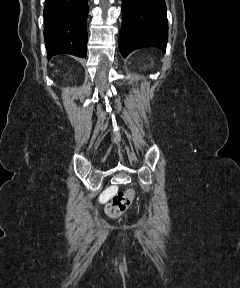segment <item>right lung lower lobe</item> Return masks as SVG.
Wrapping results in <instances>:
<instances>
[{"label":"right lung lower lobe","mask_w":240,"mask_h":288,"mask_svg":"<svg viewBox=\"0 0 240 288\" xmlns=\"http://www.w3.org/2000/svg\"><path fill=\"white\" fill-rule=\"evenodd\" d=\"M87 0H46L44 41L49 59L56 54L86 57Z\"/></svg>","instance_id":"right-lung-lower-lobe-1"}]
</instances>
